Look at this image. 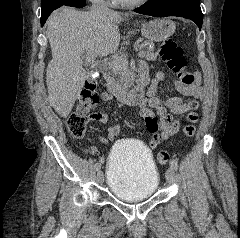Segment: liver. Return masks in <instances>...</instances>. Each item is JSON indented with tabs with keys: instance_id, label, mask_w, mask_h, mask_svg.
Instances as JSON below:
<instances>
[{
	"instance_id": "liver-1",
	"label": "liver",
	"mask_w": 240,
	"mask_h": 238,
	"mask_svg": "<svg viewBox=\"0 0 240 238\" xmlns=\"http://www.w3.org/2000/svg\"><path fill=\"white\" fill-rule=\"evenodd\" d=\"M121 20L119 12L95 14L69 7L54 11L48 18L46 35L52 50L46 71L48 100L61 117L69 115L83 88V54L103 57L115 53Z\"/></svg>"
}]
</instances>
